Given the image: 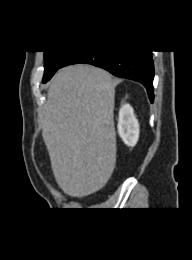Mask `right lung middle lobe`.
Listing matches in <instances>:
<instances>
[{"mask_svg": "<svg viewBox=\"0 0 192 260\" xmlns=\"http://www.w3.org/2000/svg\"><path fill=\"white\" fill-rule=\"evenodd\" d=\"M71 54V51H44L45 65L43 82H47L55 72L62 67L63 63Z\"/></svg>", "mask_w": 192, "mask_h": 260, "instance_id": "obj_1", "label": "right lung middle lobe"}]
</instances>
